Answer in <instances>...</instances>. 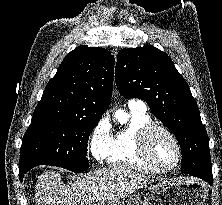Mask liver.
Here are the masks:
<instances>
[{"mask_svg": "<svg viewBox=\"0 0 222 205\" xmlns=\"http://www.w3.org/2000/svg\"><path fill=\"white\" fill-rule=\"evenodd\" d=\"M154 180L125 166H114L78 176L74 183L65 185L60 174L52 170L39 177L35 196L38 205H92L122 198Z\"/></svg>", "mask_w": 222, "mask_h": 205, "instance_id": "obj_1", "label": "liver"}]
</instances>
